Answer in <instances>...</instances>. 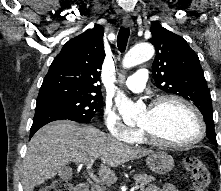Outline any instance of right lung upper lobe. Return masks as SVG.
<instances>
[{
	"label": "right lung upper lobe",
	"mask_w": 221,
	"mask_h": 191,
	"mask_svg": "<svg viewBox=\"0 0 221 191\" xmlns=\"http://www.w3.org/2000/svg\"><path fill=\"white\" fill-rule=\"evenodd\" d=\"M104 29L96 25L69 40L53 60L37 101L60 97H102L97 83L105 58Z\"/></svg>",
	"instance_id": "right-lung-upper-lobe-1"
}]
</instances>
